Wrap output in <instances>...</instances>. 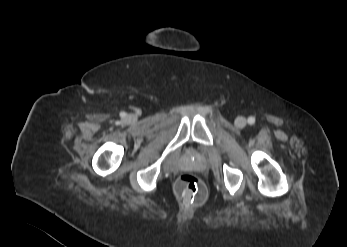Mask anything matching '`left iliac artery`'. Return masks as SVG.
<instances>
[{"label": "left iliac artery", "instance_id": "left-iliac-artery-1", "mask_svg": "<svg viewBox=\"0 0 347 247\" xmlns=\"http://www.w3.org/2000/svg\"><path fill=\"white\" fill-rule=\"evenodd\" d=\"M248 123L250 124V125H253L254 123H255V118L254 117H249L248 118Z\"/></svg>", "mask_w": 347, "mask_h": 247}]
</instances>
